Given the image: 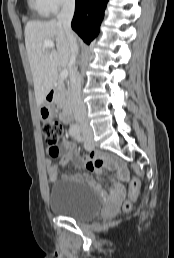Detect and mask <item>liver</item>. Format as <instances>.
Masks as SVG:
<instances>
[{
  "instance_id": "liver-1",
  "label": "liver",
  "mask_w": 174,
  "mask_h": 258,
  "mask_svg": "<svg viewBox=\"0 0 174 258\" xmlns=\"http://www.w3.org/2000/svg\"><path fill=\"white\" fill-rule=\"evenodd\" d=\"M44 41L55 42L56 49L43 50ZM25 45L36 103L40 108L57 81V69L70 65V45L63 27L56 20L29 21L25 26Z\"/></svg>"
}]
</instances>
